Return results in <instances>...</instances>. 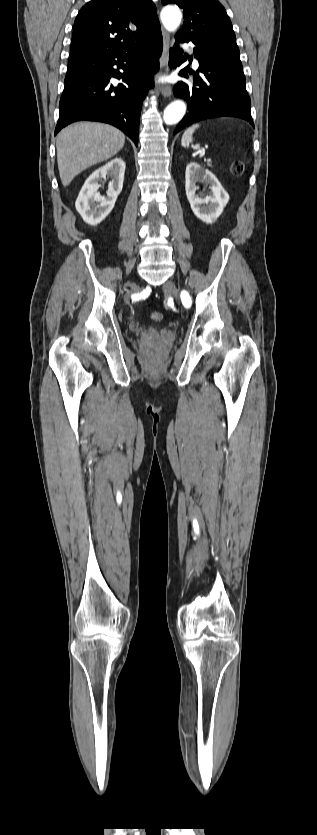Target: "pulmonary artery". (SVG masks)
Masks as SVG:
<instances>
[{"mask_svg": "<svg viewBox=\"0 0 317 835\" xmlns=\"http://www.w3.org/2000/svg\"><path fill=\"white\" fill-rule=\"evenodd\" d=\"M184 48H185L186 50H188V51H191V49H190L187 45H184ZM193 63H194V65H195V66H197V65H198V62H197V60H196V59H194V62H193Z\"/></svg>", "mask_w": 317, "mask_h": 835, "instance_id": "pulmonary-artery-1", "label": "pulmonary artery"}]
</instances>
